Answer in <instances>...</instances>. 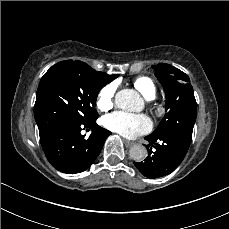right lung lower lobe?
<instances>
[{"instance_id":"obj_1","label":"right lung lower lobe","mask_w":229,"mask_h":229,"mask_svg":"<svg viewBox=\"0 0 229 229\" xmlns=\"http://www.w3.org/2000/svg\"><path fill=\"white\" fill-rule=\"evenodd\" d=\"M91 130L89 138L82 130ZM110 131L93 123L68 121L40 140L47 160L57 170L75 174L86 170L100 154Z\"/></svg>"}]
</instances>
